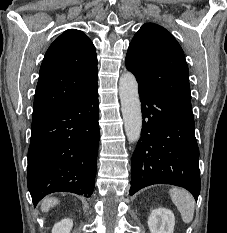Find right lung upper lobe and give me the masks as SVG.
<instances>
[{
  "instance_id": "cb5924a9",
  "label": "right lung upper lobe",
  "mask_w": 227,
  "mask_h": 233,
  "mask_svg": "<svg viewBox=\"0 0 227 233\" xmlns=\"http://www.w3.org/2000/svg\"><path fill=\"white\" fill-rule=\"evenodd\" d=\"M97 85V56L90 39L69 29L50 45L40 67L33 118L42 116Z\"/></svg>"
}]
</instances>
